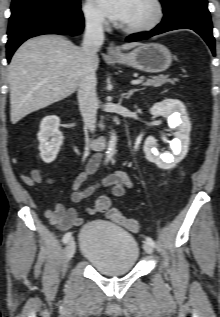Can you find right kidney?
Wrapping results in <instances>:
<instances>
[{
	"label": "right kidney",
	"mask_w": 220,
	"mask_h": 317,
	"mask_svg": "<svg viewBox=\"0 0 220 317\" xmlns=\"http://www.w3.org/2000/svg\"><path fill=\"white\" fill-rule=\"evenodd\" d=\"M60 119L57 116H46L40 124V131L37 138L40 142V157L45 163H51L55 160L60 146L63 143V134L58 130Z\"/></svg>",
	"instance_id": "obj_1"
}]
</instances>
